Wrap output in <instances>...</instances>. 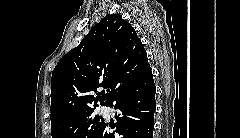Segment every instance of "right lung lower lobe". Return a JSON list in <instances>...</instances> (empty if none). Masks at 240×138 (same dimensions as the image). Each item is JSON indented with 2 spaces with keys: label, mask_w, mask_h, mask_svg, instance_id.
<instances>
[{
  "label": "right lung lower lobe",
  "mask_w": 240,
  "mask_h": 138,
  "mask_svg": "<svg viewBox=\"0 0 240 138\" xmlns=\"http://www.w3.org/2000/svg\"><path fill=\"white\" fill-rule=\"evenodd\" d=\"M119 109L114 126L104 123L94 138H153L155 84L152 73L138 85L119 93L108 105Z\"/></svg>",
  "instance_id": "right-lung-lower-lobe-1"
}]
</instances>
